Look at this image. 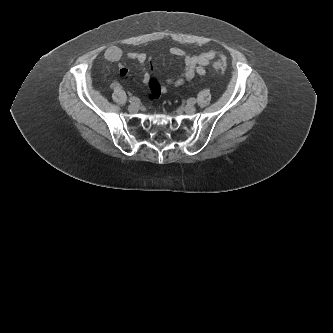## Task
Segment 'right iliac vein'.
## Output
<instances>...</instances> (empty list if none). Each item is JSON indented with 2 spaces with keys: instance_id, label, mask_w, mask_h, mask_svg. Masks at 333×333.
Returning <instances> with one entry per match:
<instances>
[{
  "instance_id": "1",
  "label": "right iliac vein",
  "mask_w": 333,
  "mask_h": 333,
  "mask_svg": "<svg viewBox=\"0 0 333 333\" xmlns=\"http://www.w3.org/2000/svg\"><path fill=\"white\" fill-rule=\"evenodd\" d=\"M128 110L131 113H135L138 111V105L136 103H132L128 106Z\"/></svg>"
}]
</instances>
